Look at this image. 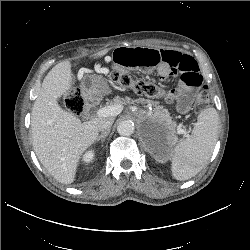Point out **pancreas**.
I'll list each match as a JSON object with an SVG mask.
<instances>
[{
    "mask_svg": "<svg viewBox=\"0 0 250 250\" xmlns=\"http://www.w3.org/2000/svg\"><path fill=\"white\" fill-rule=\"evenodd\" d=\"M113 102L116 104H135V103H142L147 104L148 106L153 107V112L151 117L159 120V121H166L169 125L170 131L167 135V139L170 143L174 144L177 142L178 138L175 135L174 130V123L171 121V117L169 115V112L167 109H165L163 106L159 105L158 102L152 101V100H144V99H137V100H131L129 97L121 98L119 96H116L113 99Z\"/></svg>",
    "mask_w": 250,
    "mask_h": 250,
    "instance_id": "pancreas-1",
    "label": "pancreas"
}]
</instances>
